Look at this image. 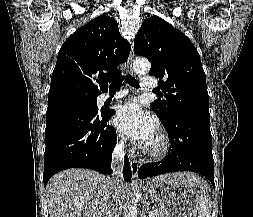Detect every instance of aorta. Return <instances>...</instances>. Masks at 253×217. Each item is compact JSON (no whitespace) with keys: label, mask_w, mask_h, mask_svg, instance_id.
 I'll list each match as a JSON object with an SVG mask.
<instances>
[{"label":"aorta","mask_w":253,"mask_h":217,"mask_svg":"<svg viewBox=\"0 0 253 217\" xmlns=\"http://www.w3.org/2000/svg\"><path fill=\"white\" fill-rule=\"evenodd\" d=\"M150 67V62L144 58L136 59L133 63L134 71L139 75L146 74L150 70ZM137 215V208L135 206H131L126 217H137Z\"/></svg>","instance_id":"aorta-1"}]
</instances>
